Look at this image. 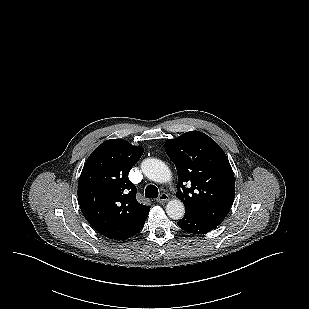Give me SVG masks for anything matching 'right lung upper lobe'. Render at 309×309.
I'll use <instances>...</instances> for the list:
<instances>
[{
    "mask_svg": "<svg viewBox=\"0 0 309 309\" xmlns=\"http://www.w3.org/2000/svg\"><path fill=\"white\" fill-rule=\"evenodd\" d=\"M143 148L122 139L98 146L87 159L78 182V201L89 224L103 236L125 240L144 226L150 206L136 200L128 179Z\"/></svg>",
    "mask_w": 309,
    "mask_h": 309,
    "instance_id": "cb5924a9",
    "label": "right lung upper lobe"
}]
</instances>
